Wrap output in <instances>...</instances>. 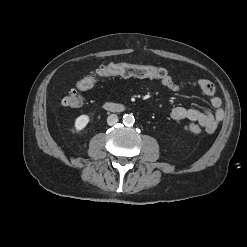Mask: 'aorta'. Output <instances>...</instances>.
I'll return each instance as SVG.
<instances>
[{
	"label": "aorta",
	"mask_w": 247,
	"mask_h": 247,
	"mask_svg": "<svg viewBox=\"0 0 247 247\" xmlns=\"http://www.w3.org/2000/svg\"><path fill=\"white\" fill-rule=\"evenodd\" d=\"M134 122H135V118H134L133 115H131V114H125L123 116V124L125 126H132L134 124Z\"/></svg>",
	"instance_id": "762f6f07"
}]
</instances>
